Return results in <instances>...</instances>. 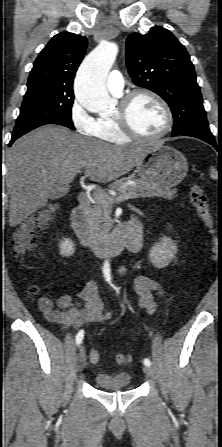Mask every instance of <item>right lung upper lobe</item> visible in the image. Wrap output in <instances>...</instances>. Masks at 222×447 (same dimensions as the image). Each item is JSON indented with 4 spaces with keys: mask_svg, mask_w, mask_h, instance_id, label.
Listing matches in <instances>:
<instances>
[{
    "mask_svg": "<svg viewBox=\"0 0 222 447\" xmlns=\"http://www.w3.org/2000/svg\"><path fill=\"white\" fill-rule=\"evenodd\" d=\"M87 47L86 37L69 32L55 35L39 53L30 72L28 88L47 85L73 93V80Z\"/></svg>",
    "mask_w": 222,
    "mask_h": 447,
    "instance_id": "1",
    "label": "right lung upper lobe"
}]
</instances>
